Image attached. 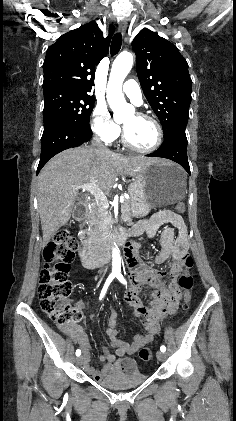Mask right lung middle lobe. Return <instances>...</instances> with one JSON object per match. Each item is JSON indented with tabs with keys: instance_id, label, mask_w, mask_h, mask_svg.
I'll use <instances>...</instances> for the list:
<instances>
[{
	"instance_id": "dd1d6c3e",
	"label": "right lung middle lobe",
	"mask_w": 236,
	"mask_h": 421,
	"mask_svg": "<svg viewBox=\"0 0 236 421\" xmlns=\"http://www.w3.org/2000/svg\"><path fill=\"white\" fill-rule=\"evenodd\" d=\"M44 131L55 125H67L91 133L89 119L94 98L87 93L64 89H44Z\"/></svg>"
}]
</instances>
